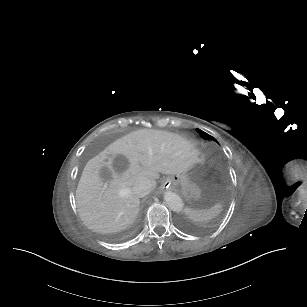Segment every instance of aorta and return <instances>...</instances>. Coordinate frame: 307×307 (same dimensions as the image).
Returning a JSON list of instances; mask_svg holds the SVG:
<instances>
[{"label": "aorta", "instance_id": "obj_1", "mask_svg": "<svg viewBox=\"0 0 307 307\" xmlns=\"http://www.w3.org/2000/svg\"><path fill=\"white\" fill-rule=\"evenodd\" d=\"M165 200L168 203L170 209L174 212H180L183 209V201L182 199L173 192H167L165 194Z\"/></svg>", "mask_w": 307, "mask_h": 307}]
</instances>
